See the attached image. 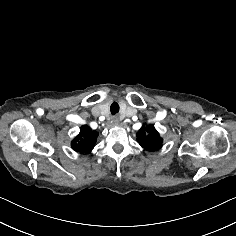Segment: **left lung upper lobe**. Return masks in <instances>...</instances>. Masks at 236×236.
I'll return each instance as SVG.
<instances>
[{
	"mask_svg": "<svg viewBox=\"0 0 236 236\" xmlns=\"http://www.w3.org/2000/svg\"><path fill=\"white\" fill-rule=\"evenodd\" d=\"M138 143L148 151H157L162 147V138L153 125H143L136 134Z\"/></svg>",
	"mask_w": 236,
	"mask_h": 236,
	"instance_id": "1",
	"label": "left lung upper lobe"
}]
</instances>
